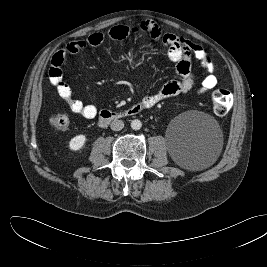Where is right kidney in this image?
Returning <instances> with one entry per match:
<instances>
[{
  "label": "right kidney",
  "instance_id": "obj_1",
  "mask_svg": "<svg viewBox=\"0 0 267 267\" xmlns=\"http://www.w3.org/2000/svg\"><path fill=\"white\" fill-rule=\"evenodd\" d=\"M86 142V137L84 135H77L72 138L69 142V148L73 151L81 149Z\"/></svg>",
  "mask_w": 267,
  "mask_h": 267
}]
</instances>
